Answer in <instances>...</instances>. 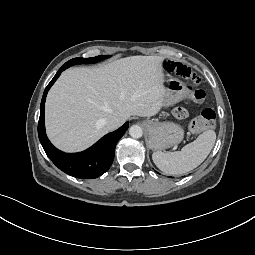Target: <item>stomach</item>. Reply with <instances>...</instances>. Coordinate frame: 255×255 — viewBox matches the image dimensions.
Masks as SVG:
<instances>
[{"mask_svg":"<svg viewBox=\"0 0 255 255\" xmlns=\"http://www.w3.org/2000/svg\"><path fill=\"white\" fill-rule=\"evenodd\" d=\"M165 88L164 106L179 102L187 92V85L179 80H168ZM144 125L149 135L148 146L152 150H165L183 140L184 130L175 123L146 120Z\"/></svg>","mask_w":255,"mask_h":255,"instance_id":"1","label":"stomach"}]
</instances>
